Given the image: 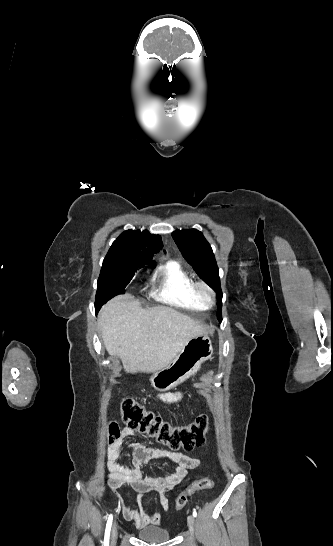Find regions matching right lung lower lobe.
<instances>
[{"label":"right lung lower lobe","instance_id":"98d812e1","mask_svg":"<svg viewBox=\"0 0 333 546\" xmlns=\"http://www.w3.org/2000/svg\"><path fill=\"white\" fill-rule=\"evenodd\" d=\"M95 308H96V311H98V307H97V306H95Z\"/></svg>","mask_w":333,"mask_h":546}]
</instances>
